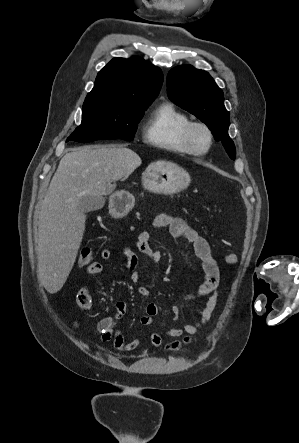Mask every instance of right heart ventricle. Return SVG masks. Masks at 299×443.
I'll return each mask as SVG.
<instances>
[{"instance_id": "right-heart-ventricle-1", "label": "right heart ventricle", "mask_w": 299, "mask_h": 443, "mask_svg": "<svg viewBox=\"0 0 299 443\" xmlns=\"http://www.w3.org/2000/svg\"><path fill=\"white\" fill-rule=\"evenodd\" d=\"M191 118L174 106L164 102L150 114L143 138L149 145L172 153L189 154L182 141L183 131Z\"/></svg>"}]
</instances>
